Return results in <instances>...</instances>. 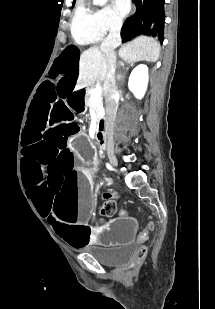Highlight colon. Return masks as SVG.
<instances>
[{
	"label": "colon",
	"instance_id": "1",
	"mask_svg": "<svg viewBox=\"0 0 215 309\" xmlns=\"http://www.w3.org/2000/svg\"><path fill=\"white\" fill-rule=\"evenodd\" d=\"M116 209H117L116 198L112 194L106 193L105 194V201H104L102 208H101L102 216L107 217V218L112 217V216L115 215ZM146 252H147V249L145 247H140L138 254L140 256H144L146 254Z\"/></svg>",
	"mask_w": 215,
	"mask_h": 309
}]
</instances>
